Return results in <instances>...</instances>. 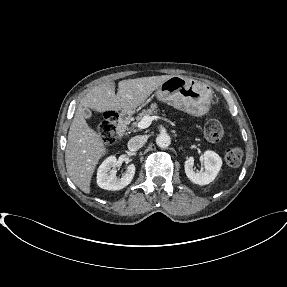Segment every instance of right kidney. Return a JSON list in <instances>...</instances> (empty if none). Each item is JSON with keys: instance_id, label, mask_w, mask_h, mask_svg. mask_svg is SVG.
Listing matches in <instances>:
<instances>
[{"instance_id": "ca27d5eb", "label": "right kidney", "mask_w": 287, "mask_h": 287, "mask_svg": "<svg viewBox=\"0 0 287 287\" xmlns=\"http://www.w3.org/2000/svg\"><path fill=\"white\" fill-rule=\"evenodd\" d=\"M117 159L110 156L105 159L97 171V184L100 188L106 190H120L129 185L135 174V165L130 164L121 178L116 177Z\"/></svg>"}]
</instances>
